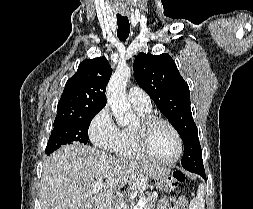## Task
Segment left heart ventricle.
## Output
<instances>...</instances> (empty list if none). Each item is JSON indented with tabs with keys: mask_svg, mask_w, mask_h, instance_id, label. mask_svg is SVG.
<instances>
[{
	"mask_svg": "<svg viewBox=\"0 0 253 209\" xmlns=\"http://www.w3.org/2000/svg\"><path fill=\"white\" fill-rule=\"evenodd\" d=\"M148 150L160 160L172 159L177 151L173 132L164 124L157 123L149 131Z\"/></svg>",
	"mask_w": 253,
	"mask_h": 209,
	"instance_id": "b2bd125f",
	"label": "left heart ventricle"
}]
</instances>
